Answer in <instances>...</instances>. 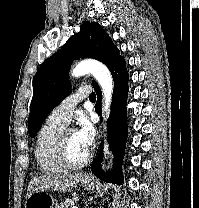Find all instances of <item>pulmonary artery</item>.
<instances>
[{"instance_id": "obj_1", "label": "pulmonary artery", "mask_w": 199, "mask_h": 208, "mask_svg": "<svg viewBox=\"0 0 199 208\" xmlns=\"http://www.w3.org/2000/svg\"><path fill=\"white\" fill-rule=\"evenodd\" d=\"M91 93L92 92L89 87H83L72 92L67 99H65L52 110L50 118L64 125H67L72 118L73 111L77 104L82 99L88 98Z\"/></svg>"}]
</instances>
